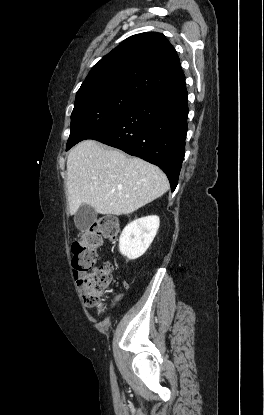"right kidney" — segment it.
I'll return each mask as SVG.
<instances>
[{"mask_svg": "<svg viewBox=\"0 0 264 415\" xmlns=\"http://www.w3.org/2000/svg\"><path fill=\"white\" fill-rule=\"evenodd\" d=\"M156 215L146 216L129 223L119 238V250L123 256L135 260L142 256L151 245L159 228Z\"/></svg>", "mask_w": 264, "mask_h": 415, "instance_id": "ca27d5eb", "label": "right kidney"}]
</instances>
